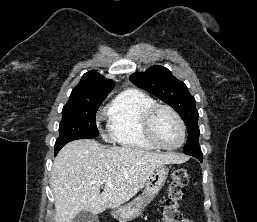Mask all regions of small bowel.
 <instances>
[{"label":"small bowel","instance_id":"obj_1","mask_svg":"<svg viewBox=\"0 0 257 222\" xmlns=\"http://www.w3.org/2000/svg\"><path fill=\"white\" fill-rule=\"evenodd\" d=\"M182 222H193L192 220L188 219V218H183Z\"/></svg>","mask_w":257,"mask_h":222}]
</instances>
